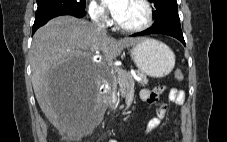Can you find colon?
I'll return each instance as SVG.
<instances>
[{"mask_svg":"<svg viewBox=\"0 0 227 142\" xmlns=\"http://www.w3.org/2000/svg\"><path fill=\"white\" fill-rule=\"evenodd\" d=\"M175 78H176L177 80H181V79L183 78L182 72H181V71H176V72H175ZM151 119H152V118H151ZM151 119H150V120H151ZM150 120L147 121V124L149 123Z\"/></svg>","mask_w":227,"mask_h":142,"instance_id":"colon-1","label":"colon"}]
</instances>
